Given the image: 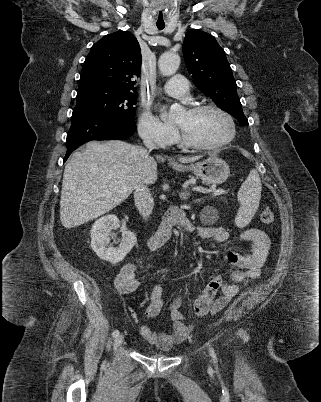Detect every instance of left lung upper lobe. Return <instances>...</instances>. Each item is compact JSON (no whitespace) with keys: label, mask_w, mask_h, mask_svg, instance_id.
Segmentation results:
<instances>
[{"label":"left lung upper lobe","mask_w":321,"mask_h":402,"mask_svg":"<svg viewBox=\"0 0 321 402\" xmlns=\"http://www.w3.org/2000/svg\"><path fill=\"white\" fill-rule=\"evenodd\" d=\"M183 55L195 86L219 108L231 113L242 124H248L231 67L216 39L200 30H189L184 38Z\"/></svg>","instance_id":"1"}]
</instances>
